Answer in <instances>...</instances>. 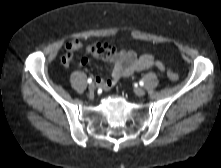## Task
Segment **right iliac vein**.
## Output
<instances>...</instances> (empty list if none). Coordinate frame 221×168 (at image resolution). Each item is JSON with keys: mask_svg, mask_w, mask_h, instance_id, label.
Here are the masks:
<instances>
[{"mask_svg": "<svg viewBox=\"0 0 221 168\" xmlns=\"http://www.w3.org/2000/svg\"><path fill=\"white\" fill-rule=\"evenodd\" d=\"M88 89H89V91H90L91 93H93V92L95 91V89H96V86H95L94 84H90L89 87H88Z\"/></svg>", "mask_w": 221, "mask_h": 168, "instance_id": "63e3f726", "label": "right iliac vein"}]
</instances>
